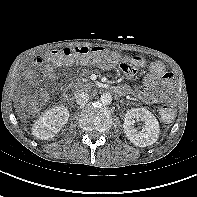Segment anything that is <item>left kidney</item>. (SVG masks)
Returning a JSON list of instances; mask_svg holds the SVG:
<instances>
[{
  "label": "left kidney",
  "mask_w": 197,
  "mask_h": 197,
  "mask_svg": "<svg viewBox=\"0 0 197 197\" xmlns=\"http://www.w3.org/2000/svg\"><path fill=\"white\" fill-rule=\"evenodd\" d=\"M135 120L143 122L141 131H138L134 127ZM123 128L130 142L138 147L152 145L159 137V122L156 117L145 108H134L127 111Z\"/></svg>",
  "instance_id": "obj_1"
}]
</instances>
